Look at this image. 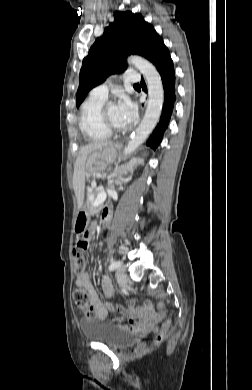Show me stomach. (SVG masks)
<instances>
[{
    "label": "stomach",
    "mask_w": 252,
    "mask_h": 390,
    "mask_svg": "<svg viewBox=\"0 0 252 390\" xmlns=\"http://www.w3.org/2000/svg\"><path fill=\"white\" fill-rule=\"evenodd\" d=\"M116 156L117 146L113 145L91 152L86 160V174L93 175L104 170L109 163L116 159ZM90 217L89 205H83L75 216L74 231L80 233L85 230L89 225Z\"/></svg>",
    "instance_id": "obj_1"
}]
</instances>
